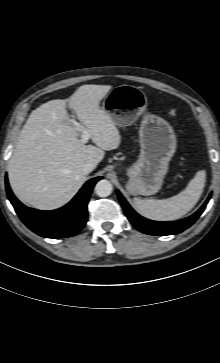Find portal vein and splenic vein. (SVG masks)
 <instances>
[{
    "mask_svg": "<svg viewBox=\"0 0 220 363\" xmlns=\"http://www.w3.org/2000/svg\"><path fill=\"white\" fill-rule=\"evenodd\" d=\"M74 125L77 127V129L81 132V142L83 144L87 143L90 138V132L87 128L81 125L79 122H74Z\"/></svg>",
    "mask_w": 220,
    "mask_h": 363,
    "instance_id": "portal-vein-and-splenic-vein-1",
    "label": "portal vein and splenic vein"
}]
</instances>
